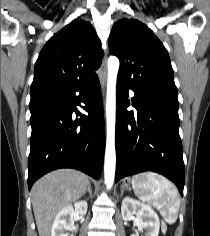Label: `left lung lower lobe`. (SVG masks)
<instances>
[{
    "instance_id": "0a47b994",
    "label": "left lung lower lobe",
    "mask_w": 210,
    "mask_h": 236,
    "mask_svg": "<svg viewBox=\"0 0 210 236\" xmlns=\"http://www.w3.org/2000/svg\"><path fill=\"white\" fill-rule=\"evenodd\" d=\"M124 81L117 79L115 182L143 171H154L173 181L183 195L185 167L179 136L177 95L134 91L132 104L137 110L128 112L130 102Z\"/></svg>"
}]
</instances>
